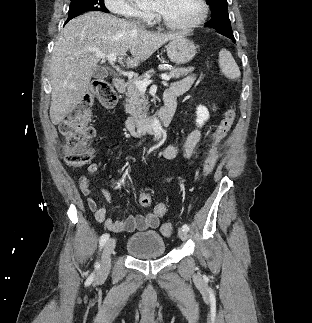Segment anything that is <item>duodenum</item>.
<instances>
[{"instance_id": "1", "label": "duodenum", "mask_w": 312, "mask_h": 323, "mask_svg": "<svg viewBox=\"0 0 312 323\" xmlns=\"http://www.w3.org/2000/svg\"><path fill=\"white\" fill-rule=\"evenodd\" d=\"M127 81L124 77H118L114 80V87L119 92H124ZM176 94L173 92H166L164 95V103L159 110L156 118L151 117H128L125 120V128L134 137H141L149 134L156 129V121L161 126H167L174 120L176 113Z\"/></svg>"}]
</instances>
